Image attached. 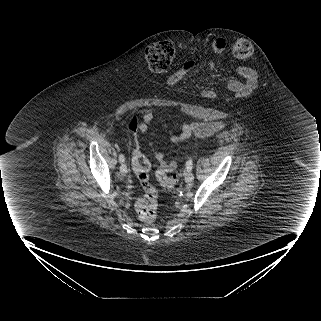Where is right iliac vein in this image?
Segmentation results:
<instances>
[{"instance_id": "obj_1", "label": "right iliac vein", "mask_w": 321, "mask_h": 321, "mask_svg": "<svg viewBox=\"0 0 321 321\" xmlns=\"http://www.w3.org/2000/svg\"><path fill=\"white\" fill-rule=\"evenodd\" d=\"M120 172L123 176H126L127 174V165L125 162H123L120 166Z\"/></svg>"}]
</instances>
